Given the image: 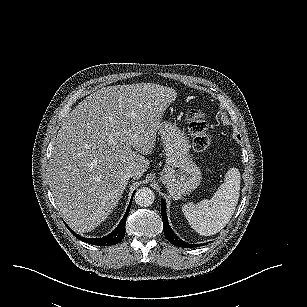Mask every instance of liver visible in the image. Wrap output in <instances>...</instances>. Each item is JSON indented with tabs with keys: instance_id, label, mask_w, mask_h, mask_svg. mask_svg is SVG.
<instances>
[{
	"instance_id": "1",
	"label": "liver",
	"mask_w": 307,
	"mask_h": 307,
	"mask_svg": "<svg viewBox=\"0 0 307 307\" xmlns=\"http://www.w3.org/2000/svg\"><path fill=\"white\" fill-rule=\"evenodd\" d=\"M177 93L154 83L107 86L65 118L49 160L50 189L68 226L94 230L118 206L132 174L147 171L156 132ZM133 149L135 151H133Z\"/></svg>"
}]
</instances>
